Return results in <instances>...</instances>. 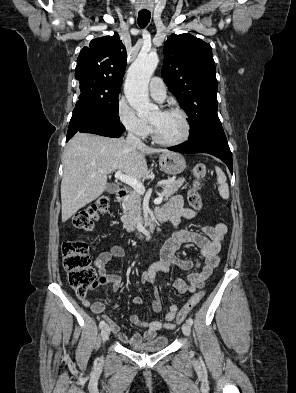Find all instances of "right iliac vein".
<instances>
[{
    "label": "right iliac vein",
    "mask_w": 296,
    "mask_h": 393,
    "mask_svg": "<svg viewBox=\"0 0 296 393\" xmlns=\"http://www.w3.org/2000/svg\"><path fill=\"white\" fill-rule=\"evenodd\" d=\"M109 335H110V328L108 325H105L101 331L102 340L105 342L109 338Z\"/></svg>",
    "instance_id": "63e3f726"
}]
</instances>
